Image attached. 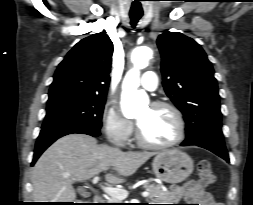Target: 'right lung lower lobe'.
<instances>
[{"instance_id":"98d812e1","label":"right lung lower lobe","mask_w":253,"mask_h":205,"mask_svg":"<svg viewBox=\"0 0 253 205\" xmlns=\"http://www.w3.org/2000/svg\"><path fill=\"white\" fill-rule=\"evenodd\" d=\"M72 133H80V134H88L94 137L100 135L99 130L84 128V127H76V126H64V127H56L50 129H42L35 146L34 157L31 165L33 166L39 156L44 152V150L49 147L55 140L58 138L72 134Z\"/></svg>"}]
</instances>
